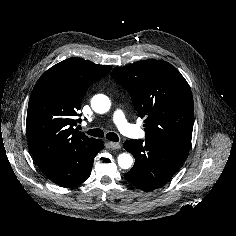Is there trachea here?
Returning a JSON list of instances; mask_svg holds the SVG:
<instances>
[{"instance_id": "trachea-1", "label": "trachea", "mask_w": 236, "mask_h": 236, "mask_svg": "<svg viewBox=\"0 0 236 236\" xmlns=\"http://www.w3.org/2000/svg\"><path fill=\"white\" fill-rule=\"evenodd\" d=\"M87 133L91 136H94V137H104V132L99 128L88 130ZM106 138L108 140L114 141V142L119 141V138H118L117 134H115L113 132H109L106 135Z\"/></svg>"}]
</instances>
